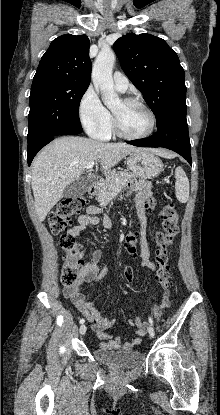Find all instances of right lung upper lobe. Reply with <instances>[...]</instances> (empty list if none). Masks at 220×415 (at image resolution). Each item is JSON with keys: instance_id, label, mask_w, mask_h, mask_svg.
Segmentation results:
<instances>
[{"instance_id": "cb5924a9", "label": "right lung upper lobe", "mask_w": 220, "mask_h": 415, "mask_svg": "<svg viewBox=\"0 0 220 415\" xmlns=\"http://www.w3.org/2000/svg\"><path fill=\"white\" fill-rule=\"evenodd\" d=\"M89 46L86 35L66 34L54 39L39 62L33 82L52 80L89 86Z\"/></svg>"}]
</instances>
